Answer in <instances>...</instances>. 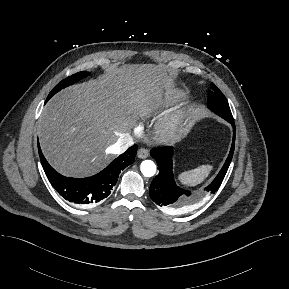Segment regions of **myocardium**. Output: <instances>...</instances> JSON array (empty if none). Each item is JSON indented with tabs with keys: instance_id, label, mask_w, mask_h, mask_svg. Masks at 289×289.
Listing matches in <instances>:
<instances>
[{
	"instance_id": "myocardium-1",
	"label": "myocardium",
	"mask_w": 289,
	"mask_h": 289,
	"mask_svg": "<svg viewBox=\"0 0 289 289\" xmlns=\"http://www.w3.org/2000/svg\"><path fill=\"white\" fill-rule=\"evenodd\" d=\"M183 124V111L175 110L159 122L157 133L164 140L172 139L180 132Z\"/></svg>"
}]
</instances>
